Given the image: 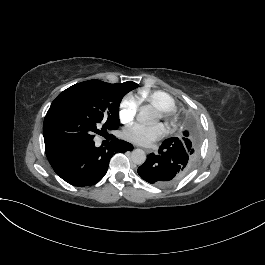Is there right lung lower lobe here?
<instances>
[{"label":"right lung lower lobe","instance_id":"1","mask_svg":"<svg viewBox=\"0 0 265 265\" xmlns=\"http://www.w3.org/2000/svg\"><path fill=\"white\" fill-rule=\"evenodd\" d=\"M133 150L132 144L112 137L106 148L95 147L93 139L69 141L46 149L54 171L73 186H89L107 172L110 158L117 152Z\"/></svg>","mask_w":265,"mask_h":265}]
</instances>
